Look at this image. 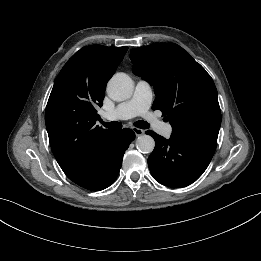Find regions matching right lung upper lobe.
<instances>
[{
    "label": "right lung upper lobe",
    "mask_w": 261,
    "mask_h": 261,
    "mask_svg": "<svg viewBox=\"0 0 261 261\" xmlns=\"http://www.w3.org/2000/svg\"><path fill=\"white\" fill-rule=\"evenodd\" d=\"M128 47L90 45L77 51L57 76L45 112L53 154L69 179L98 158L114 132L96 125L107 82Z\"/></svg>",
    "instance_id": "cb5924a9"
}]
</instances>
